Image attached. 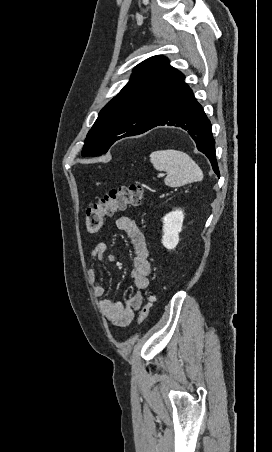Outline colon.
<instances>
[{
    "instance_id": "colon-1",
    "label": "colon",
    "mask_w": 272,
    "mask_h": 452,
    "mask_svg": "<svg viewBox=\"0 0 272 452\" xmlns=\"http://www.w3.org/2000/svg\"><path fill=\"white\" fill-rule=\"evenodd\" d=\"M145 200V191L143 187L137 183L111 190L97 203L87 209V231L92 234L97 233L101 229L105 218L111 217L116 212L124 210L128 206H140ZM155 299L154 293H149L147 295L146 304L143 306L139 317L140 324L148 318L151 306L155 302Z\"/></svg>"
}]
</instances>
